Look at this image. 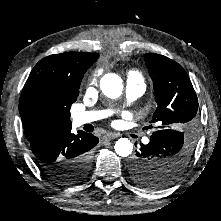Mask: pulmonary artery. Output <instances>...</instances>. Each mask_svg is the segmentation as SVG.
I'll return each instance as SVG.
<instances>
[{
    "mask_svg": "<svg viewBox=\"0 0 221 221\" xmlns=\"http://www.w3.org/2000/svg\"><path fill=\"white\" fill-rule=\"evenodd\" d=\"M145 90L146 86L139 77L128 78L126 85V97L128 103L138 100L144 94ZM109 113V111L78 112L73 115V124L75 126H81L91 123L106 117Z\"/></svg>",
    "mask_w": 221,
    "mask_h": 221,
    "instance_id": "e3ab8cb5",
    "label": "pulmonary artery"
}]
</instances>
